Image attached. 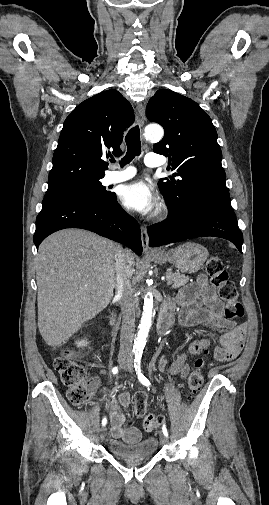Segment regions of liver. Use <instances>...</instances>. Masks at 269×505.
Wrapping results in <instances>:
<instances>
[{"label":"liver","instance_id":"6515ba94","mask_svg":"<svg viewBox=\"0 0 269 505\" xmlns=\"http://www.w3.org/2000/svg\"><path fill=\"white\" fill-rule=\"evenodd\" d=\"M118 245L89 231L65 229L47 237L36 257L38 328L51 347L65 343L110 303ZM129 277L134 255L125 250Z\"/></svg>","mask_w":269,"mask_h":505}]
</instances>
